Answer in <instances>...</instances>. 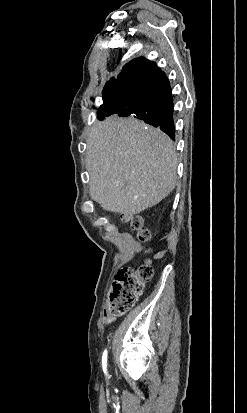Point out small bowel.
I'll return each mask as SVG.
<instances>
[{"label": "small bowel", "instance_id": "small-bowel-1", "mask_svg": "<svg viewBox=\"0 0 247 413\" xmlns=\"http://www.w3.org/2000/svg\"><path fill=\"white\" fill-rule=\"evenodd\" d=\"M103 321H104V324L109 325L115 321V317L105 312Z\"/></svg>", "mask_w": 247, "mask_h": 413}]
</instances>
